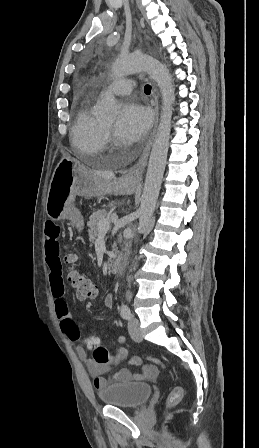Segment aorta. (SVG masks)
<instances>
[{"label":"aorta","mask_w":259,"mask_h":448,"mask_svg":"<svg viewBox=\"0 0 259 448\" xmlns=\"http://www.w3.org/2000/svg\"><path fill=\"white\" fill-rule=\"evenodd\" d=\"M112 72L114 78H121L137 72H147L157 83L162 95L160 122L151 149L139 209L137 230L143 233L154 213L165 171L171 132L172 106L175 101L174 90L168 69L148 55L120 56L115 60ZM98 109L104 118H114L118 112L114 96L108 93L103 94Z\"/></svg>","instance_id":"1"}]
</instances>
